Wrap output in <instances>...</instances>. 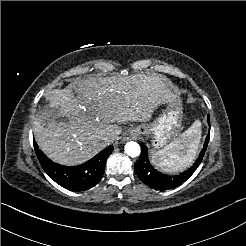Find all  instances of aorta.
Instances as JSON below:
<instances>
[{
  "mask_svg": "<svg viewBox=\"0 0 246 246\" xmlns=\"http://www.w3.org/2000/svg\"><path fill=\"white\" fill-rule=\"evenodd\" d=\"M141 148L137 142L130 141L125 145V153L134 158L140 155Z\"/></svg>",
  "mask_w": 246,
  "mask_h": 246,
  "instance_id": "1",
  "label": "aorta"
}]
</instances>
